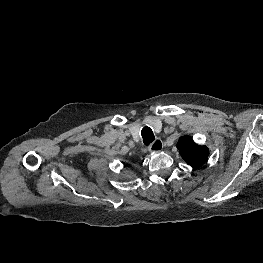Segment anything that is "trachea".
I'll use <instances>...</instances> for the list:
<instances>
[{
  "mask_svg": "<svg viewBox=\"0 0 263 263\" xmlns=\"http://www.w3.org/2000/svg\"><path fill=\"white\" fill-rule=\"evenodd\" d=\"M141 135L143 138V142L146 146L150 145L154 140H155V136L153 134V131L150 127L145 126L142 131H141Z\"/></svg>",
  "mask_w": 263,
  "mask_h": 263,
  "instance_id": "trachea-1",
  "label": "trachea"
}]
</instances>
